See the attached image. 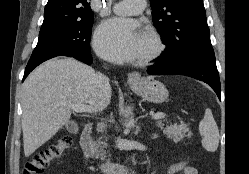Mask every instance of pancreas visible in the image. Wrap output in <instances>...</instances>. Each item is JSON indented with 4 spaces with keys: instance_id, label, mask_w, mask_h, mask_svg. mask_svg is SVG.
Listing matches in <instances>:
<instances>
[{
    "instance_id": "obj_1",
    "label": "pancreas",
    "mask_w": 249,
    "mask_h": 174,
    "mask_svg": "<svg viewBox=\"0 0 249 174\" xmlns=\"http://www.w3.org/2000/svg\"><path fill=\"white\" fill-rule=\"evenodd\" d=\"M157 126L163 129L164 135H166L167 138L172 139L174 142H178L181 139H184L186 137H191L193 135L188 125L184 123L168 125L167 120L163 121L158 120ZM106 147L107 144L103 142L101 139H98L97 142L93 143L92 145V152L96 156H100L102 159H104L106 157L104 148Z\"/></svg>"
}]
</instances>
